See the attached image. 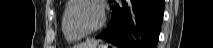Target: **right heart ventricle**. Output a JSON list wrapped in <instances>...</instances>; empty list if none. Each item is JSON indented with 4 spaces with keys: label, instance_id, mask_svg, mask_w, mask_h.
<instances>
[{
    "label": "right heart ventricle",
    "instance_id": "e07e8e85",
    "mask_svg": "<svg viewBox=\"0 0 213 48\" xmlns=\"http://www.w3.org/2000/svg\"><path fill=\"white\" fill-rule=\"evenodd\" d=\"M68 5H69V1L67 2V4L65 5V7L62 10L61 31H62V34H63V36H64V38L67 42L75 43V42H78L79 40H81L82 37L73 33L67 25L66 12H67Z\"/></svg>",
    "mask_w": 213,
    "mask_h": 48
}]
</instances>
